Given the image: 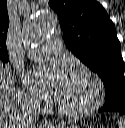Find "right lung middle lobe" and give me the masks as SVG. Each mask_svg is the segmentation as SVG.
Returning <instances> with one entry per match:
<instances>
[{
    "instance_id": "dd1d6c3e",
    "label": "right lung middle lobe",
    "mask_w": 125,
    "mask_h": 128,
    "mask_svg": "<svg viewBox=\"0 0 125 128\" xmlns=\"http://www.w3.org/2000/svg\"><path fill=\"white\" fill-rule=\"evenodd\" d=\"M0 61H2V62H4V63H6V62H8V60L7 59H4V60H1L0 59ZM3 63V66H5V64Z\"/></svg>"
}]
</instances>
